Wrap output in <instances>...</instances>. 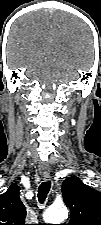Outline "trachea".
<instances>
[{
	"instance_id": "trachea-1",
	"label": "trachea",
	"mask_w": 101,
	"mask_h": 225,
	"mask_svg": "<svg viewBox=\"0 0 101 225\" xmlns=\"http://www.w3.org/2000/svg\"><path fill=\"white\" fill-rule=\"evenodd\" d=\"M51 188V181H45L43 183H41V185L38 188V200L40 202V204H43L47 194L49 193Z\"/></svg>"
}]
</instances>
